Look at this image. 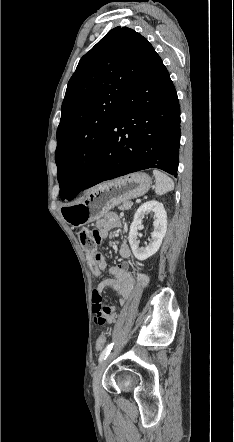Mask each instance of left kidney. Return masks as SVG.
<instances>
[{
    "instance_id": "obj_1",
    "label": "left kidney",
    "mask_w": 234,
    "mask_h": 442,
    "mask_svg": "<svg viewBox=\"0 0 234 442\" xmlns=\"http://www.w3.org/2000/svg\"><path fill=\"white\" fill-rule=\"evenodd\" d=\"M154 212L156 219L153 222L152 241L146 247H139L138 226L142 223L145 214ZM167 231V213L162 203L151 200L142 204L134 215L129 231V243L134 256L140 260H146L155 254L160 248Z\"/></svg>"
}]
</instances>
